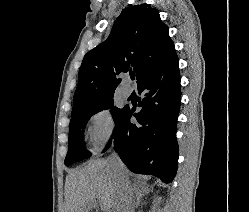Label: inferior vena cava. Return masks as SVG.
I'll use <instances>...</instances> for the list:
<instances>
[{
  "instance_id": "inferior-vena-cava-1",
  "label": "inferior vena cava",
  "mask_w": 249,
  "mask_h": 212,
  "mask_svg": "<svg viewBox=\"0 0 249 212\" xmlns=\"http://www.w3.org/2000/svg\"><path fill=\"white\" fill-rule=\"evenodd\" d=\"M109 162L116 170V188L119 196L120 212H134L132 202V188L129 182V176L125 170L123 162H121L118 154L112 152Z\"/></svg>"
}]
</instances>
